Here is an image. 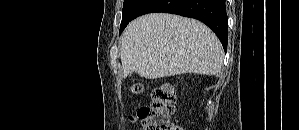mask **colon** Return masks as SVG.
Wrapping results in <instances>:
<instances>
[{
	"label": "colon",
	"mask_w": 299,
	"mask_h": 130,
	"mask_svg": "<svg viewBox=\"0 0 299 130\" xmlns=\"http://www.w3.org/2000/svg\"><path fill=\"white\" fill-rule=\"evenodd\" d=\"M130 90L134 94L143 91V85L135 82ZM176 91L171 83H164L152 92L150 106L138 111L142 130H183L172 118L175 112Z\"/></svg>",
	"instance_id": "obj_1"
}]
</instances>
